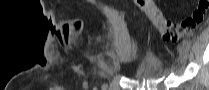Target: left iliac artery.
I'll use <instances>...</instances> for the list:
<instances>
[{"mask_svg":"<svg viewBox=\"0 0 209 90\" xmlns=\"http://www.w3.org/2000/svg\"><path fill=\"white\" fill-rule=\"evenodd\" d=\"M183 45H185V47H186L187 49L190 48V43H189L188 41H186V40L183 41Z\"/></svg>","mask_w":209,"mask_h":90,"instance_id":"1","label":"left iliac artery"}]
</instances>
